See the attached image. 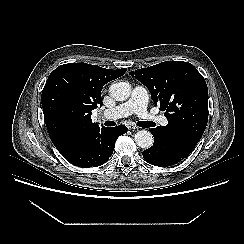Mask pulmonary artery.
<instances>
[{"label": "pulmonary artery", "mask_w": 244, "mask_h": 244, "mask_svg": "<svg viewBox=\"0 0 244 244\" xmlns=\"http://www.w3.org/2000/svg\"><path fill=\"white\" fill-rule=\"evenodd\" d=\"M149 96L147 90L142 86H136L131 97L125 103H122L112 109L103 112V116L109 119L127 117L133 113L149 122H157L160 125H167L168 120L165 116H156L148 111Z\"/></svg>", "instance_id": "1"}]
</instances>
